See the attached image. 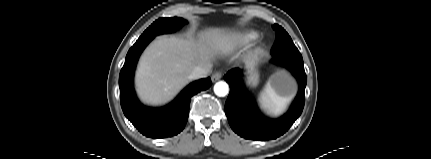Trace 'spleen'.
I'll return each mask as SVG.
<instances>
[{"mask_svg":"<svg viewBox=\"0 0 431 159\" xmlns=\"http://www.w3.org/2000/svg\"><path fill=\"white\" fill-rule=\"evenodd\" d=\"M292 97L281 96L268 83L260 92L258 102L260 108L268 115H279L291 102Z\"/></svg>","mask_w":431,"mask_h":159,"instance_id":"3e777b00","label":"spleen"}]
</instances>
